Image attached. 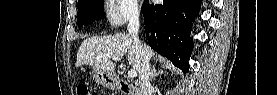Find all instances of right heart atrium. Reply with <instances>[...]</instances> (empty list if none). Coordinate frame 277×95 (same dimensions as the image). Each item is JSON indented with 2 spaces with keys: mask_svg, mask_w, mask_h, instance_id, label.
Here are the masks:
<instances>
[{
  "mask_svg": "<svg viewBox=\"0 0 277 95\" xmlns=\"http://www.w3.org/2000/svg\"><path fill=\"white\" fill-rule=\"evenodd\" d=\"M107 20L113 27H120L137 12V0H110Z\"/></svg>",
  "mask_w": 277,
  "mask_h": 95,
  "instance_id": "1",
  "label": "right heart atrium"
}]
</instances>
